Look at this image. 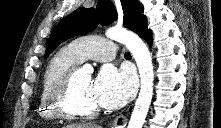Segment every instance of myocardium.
Returning a JSON list of instances; mask_svg holds the SVG:
<instances>
[{
    "mask_svg": "<svg viewBox=\"0 0 221 128\" xmlns=\"http://www.w3.org/2000/svg\"><path fill=\"white\" fill-rule=\"evenodd\" d=\"M78 68L71 69L64 79L55 87L49 95V106L58 116L65 119H89L98 115L99 108L92 110H79L72 107L70 98L73 93L74 81Z\"/></svg>",
    "mask_w": 221,
    "mask_h": 128,
    "instance_id": "1",
    "label": "myocardium"
}]
</instances>
